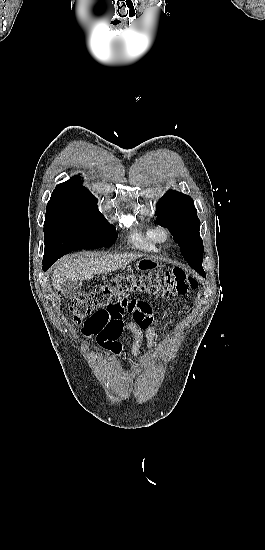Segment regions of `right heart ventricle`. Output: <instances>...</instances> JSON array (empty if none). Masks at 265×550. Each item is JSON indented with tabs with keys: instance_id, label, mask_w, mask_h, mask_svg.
I'll return each instance as SVG.
<instances>
[{
	"instance_id": "e07e8e85",
	"label": "right heart ventricle",
	"mask_w": 265,
	"mask_h": 550,
	"mask_svg": "<svg viewBox=\"0 0 265 550\" xmlns=\"http://www.w3.org/2000/svg\"><path fill=\"white\" fill-rule=\"evenodd\" d=\"M129 242L136 248L145 251H156L154 228L144 227L134 230L129 236Z\"/></svg>"
}]
</instances>
